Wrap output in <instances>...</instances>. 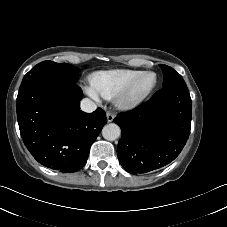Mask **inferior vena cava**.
<instances>
[{"label": "inferior vena cava", "mask_w": 227, "mask_h": 227, "mask_svg": "<svg viewBox=\"0 0 227 227\" xmlns=\"http://www.w3.org/2000/svg\"><path fill=\"white\" fill-rule=\"evenodd\" d=\"M96 108H97V105L88 98H84L81 101V109L84 112L91 113V112L95 111Z\"/></svg>", "instance_id": "obj_1"}]
</instances>
